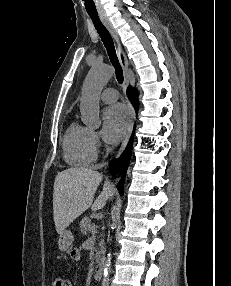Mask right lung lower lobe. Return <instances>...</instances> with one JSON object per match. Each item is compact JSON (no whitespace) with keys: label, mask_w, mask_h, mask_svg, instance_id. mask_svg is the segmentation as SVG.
<instances>
[{"label":"right lung lower lobe","mask_w":231,"mask_h":286,"mask_svg":"<svg viewBox=\"0 0 231 286\" xmlns=\"http://www.w3.org/2000/svg\"><path fill=\"white\" fill-rule=\"evenodd\" d=\"M127 94H128L129 99L133 103L135 109L137 110V105H138L137 92L131 87H129L127 90ZM133 136H134V132L132 133L129 144L127 148L125 149V151L123 152L122 156L118 160H113L110 162V170L112 173H116L119 170L123 174L117 186L120 194L123 193V183H124L125 173H126L127 167L129 165L130 157H131Z\"/></svg>","instance_id":"1"}]
</instances>
